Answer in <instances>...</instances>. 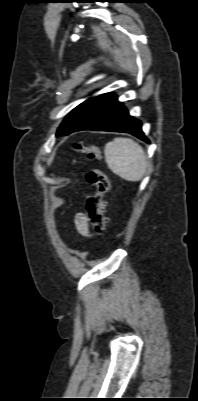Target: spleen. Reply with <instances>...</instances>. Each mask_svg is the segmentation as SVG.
<instances>
[{
  "instance_id": "spleen-1",
  "label": "spleen",
  "mask_w": 198,
  "mask_h": 401,
  "mask_svg": "<svg viewBox=\"0 0 198 401\" xmlns=\"http://www.w3.org/2000/svg\"><path fill=\"white\" fill-rule=\"evenodd\" d=\"M108 168L120 178L140 181L147 168V157L143 148L129 138H115L104 149Z\"/></svg>"
}]
</instances>
